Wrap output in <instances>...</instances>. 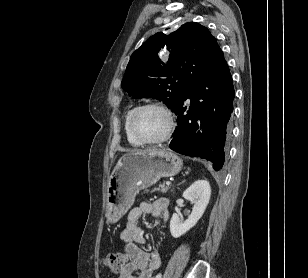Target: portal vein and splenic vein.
Returning <instances> with one entry per match:
<instances>
[{
	"label": "portal vein and splenic vein",
	"mask_w": 308,
	"mask_h": 278,
	"mask_svg": "<svg viewBox=\"0 0 308 278\" xmlns=\"http://www.w3.org/2000/svg\"><path fill=\"white\" fill-rule=\"evenodd\" d=\"M166 185H167V186H170V185H171V182H169V181L166 182Z\"/></svg>",
	"instance_id": "18ae733b"
}]
</instances>
